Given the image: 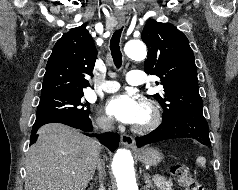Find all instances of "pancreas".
<instances>
[{
    "label": "pancreas",
    "instance_id": "cf45deb5",
    "mask_svg": "<svg viewBox=\"0 0 238 190\" xmlns=\"http://www.w3.org/2000/svg\"><path fill=\"white\" fill-rule=\"evenodd\" d=\"M153 180L158 190H172L173 183L171 180H167L165 177L162 176H157Z\"/></svg>",
    "mask_w": 238,
    "mask_h": 190
}]
</instances>
